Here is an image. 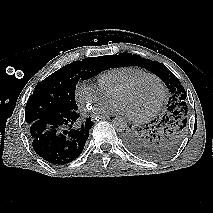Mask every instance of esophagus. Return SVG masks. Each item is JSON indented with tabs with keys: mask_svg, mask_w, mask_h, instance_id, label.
Here are the masks:
<instances>
[{
	"mask_svg": "<svg viewBox=\"0 0 213 213\" xmlns=\"http://www.w3.org/2000/svg\"><path fill=\"white\" fill-rule=\"evenodd\" d=\"M99 119H111V120H115L117 119L116 115H100L98 116Z\"/></svg>",
	"mask_w": 213,
	"mask_h": 213,
	"instance_id": "34e87169",
	"label": "esophagus"
}]
</instances>
